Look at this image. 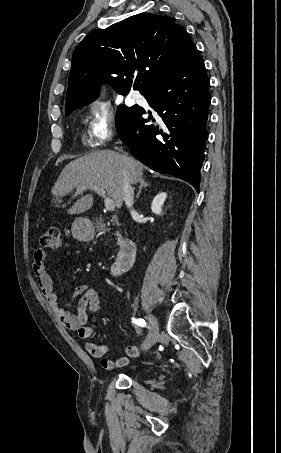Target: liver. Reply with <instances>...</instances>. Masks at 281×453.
Returning <instances> with one entry per match:
<instances>
[{
    "label": "liver",
    "instance_id": "obj_1",
    "mask_svg": "<svg viewBox=\"0 0 281 453\" xmlns=\"http://www.w3.org/2000/svg\"><path fill=\"white\" fill-rule=\"evenodd\" d=\"M124 174L130 184H136L144 174V166L133 156L123 160L122 154L116 150H94L84 156L68 162L59 174L51 192L55 198L52 202H62V196L73 192L78 186H101L115 200L117 208H121L124 200ZM93 194H85L74 202L67 210L69 214H80L93 206Z\"/></svg>",
    "mask_w": 281,
    "mask_h": 453
}]
</instances>
